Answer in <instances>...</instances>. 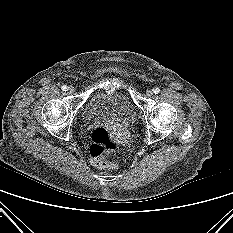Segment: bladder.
Here are the masks:
<instances>
[{
	"label": "bladder",
	"instance_id": "1",
	"mask_svg": "<svg viewBox=\"0 0 233 233\" xmlns=\"http://www.w3.org/2000/svg\"><path fill=\"white\" fill-rule=\"evenodd\" d=\"M135 117L133 103L121 91H97L91 95L83 108V118L86 121L104 120L129 124Z\"/></svg>",
	"mask_w": 233,
	"mask_h": 233
}]
</instances>
